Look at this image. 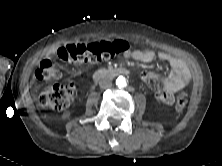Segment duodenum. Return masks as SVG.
<instances>
[{"mask_svg":"<svg viewBox=\"0 0 222 166\" xmlns=\"http://www.w3.org/2000/svg\"><path fill=\"white\" fill-rule=\"evenodd\" d=\"M128 73H129V71L123 67L106 68V69H100V70L96 71L93 78L95 81H98V80L105 78V77L126 75Z\"/></svg>","mask_w":222,"mask_h":166,"instance_id":"1","label":"duodenum"}]
</instances>
